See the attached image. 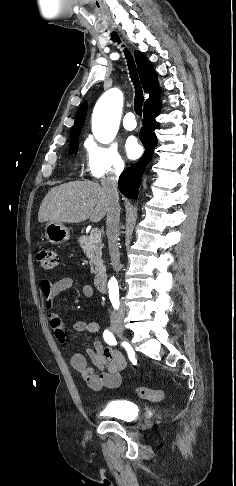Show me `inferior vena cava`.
<instances>
[{"label": "inferior vena cava", "instance_id": "obj_1", "mask_svg": "<svg viewBox=\"0 0 236 486\" xmlns=\"http://www.w3.org/2000/svg\"><path fill=\"white\" fill-rule=\"evenodd\" d=\"M124 170V162L119 161L115 164V168L110 176L104 177L101 180L102 187L107 191L109 196V206L106 218V234L108 237V248L111 257V264L114 271L119 272L121 269L120 252H119V221H120V205L119 195L117 190V182L119 175ZM122 308H120L119 313ZM115 314V312H113Z\"/></svg>", "mask_w": 236, "mask_h": 486}]
</instances>
